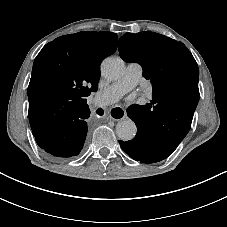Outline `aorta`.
Masks as SVG:
<instances>
[{"label":"aorta","instance_id":"obj_1","mask_svg":"<svg viewBox=\"0 0 227 227\" xmlns=\"http://www.w3.org/2000/svg\"><path fill=\"white\" fill-rule=\"evenodd\" d=\"M124 72V63L118 57H107L101 64V74L104 78L110 81L119 79ZM137 132L135 123L130 120H122L116 126V133L120 140H132Z\"/></svg>","mask_w":227,"mask_h":227}]
</instances>
